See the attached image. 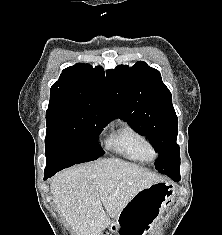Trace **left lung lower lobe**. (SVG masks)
Instances as JSON below:
<instances>
[{"label":"left lung lower lobe","instance_id":"left-lung-lower-lobe-1","mask_svg":"<svg viewBox=\"0 0 222 235\" xmlns=\"http://www.w3.org/2000/svg\"><path fill=\"white\" fill-rule=\"evenodd\" d=\"M172 180H174V181H176V182H178L179 180H180V176H178V177H173V178H171Z\"/></svg>","mask_w":222,"mask_h":235}]
</instances>
